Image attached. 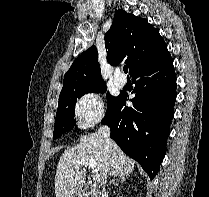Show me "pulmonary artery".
<instances>
[{
    "label": "pulmonary artery",
    "instance_id": "1",
    "mask_svg": "<svg viewBox=\"0 0 209 197\" xmlns=\"http://www.w3.org/2000/svg\"><path fill=\"white\" fill-rule=\"evenodd\" d=\"M113 81L118 87H123L126 84V79L124 77L115 76Z\"/></svg>",
    "mask_w": 209,
    "mask_h": 197
}]
</instances>
